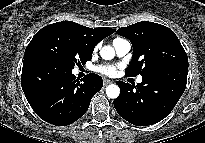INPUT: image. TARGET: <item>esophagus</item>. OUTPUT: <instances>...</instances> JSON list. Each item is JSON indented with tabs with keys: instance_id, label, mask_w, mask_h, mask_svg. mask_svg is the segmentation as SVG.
<instances>
[{
	"instance_id": "34e87169",
	"label": "esophagus",
	"mask_w": 205,
	"mask_h": 143,
	"mask_svg": "<svg viewBox=\"0 0 205 143\" xmlns=\"http://www.w3.org/2000/svg\"><path fill=\"white\" fill-rule=\"evenodd\" d=\"M103 83H104L105 86H107L108 84H111L112 81L109 80V79H104Z\"/></svg>"
}]
</instances>
